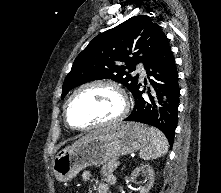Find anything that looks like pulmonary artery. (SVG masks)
I'll use <instances>...</instances> for the list:
<instances>
[{
    "instance_id": "1",
    "label": "pulmonary artery",
    "mask_w": 221,
    "mask_h": 193,
    "mask_svg": "<svg viewBox=\"0 0 221 193\" xmlns=\"http://www.w3.org/2000/svg\"><path fill=\"white\" fill-rule=\"evenodd\" d=\"M137 71L140 72L141 77H144V76H145V70H144V68H143L142 65H138V66H137Z\"/></svg>"
}]
</instances>
